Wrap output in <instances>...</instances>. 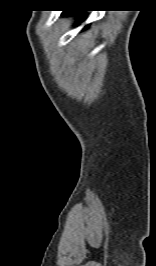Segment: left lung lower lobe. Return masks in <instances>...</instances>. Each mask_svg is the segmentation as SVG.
Listing matches in <instances>:
<instances>
[{"mask_svg":"<svg viewBox=\"0 0 156 266\" xmlns=\"http://www.w3.org/2000/svg\"><path fill=\"white\" fill-rule=\"evenodd\" d=\"M74 12H76V11H64L63 15H71ZM84 16H85L84 14H80L79 20L77 21V24L83 20Z\"/></svg>","mask_w":156,"mask_h":266,"instance_id":"obj_1","label":"left lung lower lobe"}]
</instances>
